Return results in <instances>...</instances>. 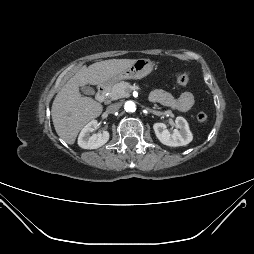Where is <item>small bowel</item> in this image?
Here are the masks:
<instances>
[{
	"mask_svg": "<svg viewBox=\"0 0 254 254\" xmlns=\"http://www.w3.org/2000/svg\"><path fill=\"white\" fill-rule=\"evenodd\" d=\"M149 98L152 102L161 103L179 112L189 111L194 104V97L190 92H184L179 97H175L167 91L157 89L151 92Z\"/></svg>",
	"mask_w": 254,
	"mask_h": 254,
	"instance_id": "small-bowel-1",
	"label": "small bowel"
}]
</instances>
